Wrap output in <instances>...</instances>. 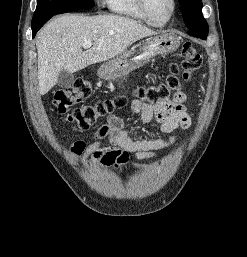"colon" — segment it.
Here are the masks:
<instances>
[{
	"mask_svg": "<svg viewBox=\"0 0 247 257\" xmlns=\"http://www.w3.org/2000/svg\"><path fill=\"white\" fill-rule=\"evenodd\" d=\"M180 56L183 59L182 78L179 76L178 65L172 64L164 82L136 89L135 95L138 100L149 105H156L167 101L173 92L182 90V79L188 80L191 74L200 68L202 59L197 49L190 42L183 44ZM91 95V83L84 79H78L70 87L58 90L55 93L53 105L57 113L73 124L75 129L87 130L98 124L106 116L111 115L115 110L123 108L127 103L124 96H117L114 99L83 104L80 107L73 108Z\"/></svg>",
	"mask_w": 247,
	"mask_h": 257,
	"instance_id": "obj_1",
	"label": "colon"
}]
</instances>
